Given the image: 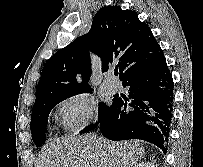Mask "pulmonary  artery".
<instances>
[{
    "mask_svg": "<svg viewBox=\"0 0 203 167\" xmlns=\"http://www.w3.org/2000/svg\"><path fill=\"white\" fill-rule=\"evenodd\" d=\"M105 86L110 92H116L119 89V84L112 76H109L105 81Z\"/></svg>",
    "mask_w": 203,
    "mask_h": 167,
    "instance_id": "1",
    "label": "pulmonary artery"
}]
</instances>
